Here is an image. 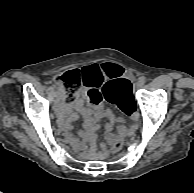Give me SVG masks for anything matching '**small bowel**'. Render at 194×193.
Here are the masks:
<instances>
[{
  "label": "small bowel",
  "instance_id": "obj_1",
  "mask_svg": "<svg viewBox=\"0 0 194 193\" xmlns=\"http://www.w3.org/2000/svg\"><path fill=\"white\" fill-rule=\"evenodd\" d=\"M121 69L115 64H104L89 68L83 73L84 89L79 97L71 103L62 105L61 108V127L68 132L69 124L76 119V110L84 117L86 131L92 132L96 128V121L106 117L109 123L106 125L107 135H111L114 123L118 120L109 108L100 106L99 88L112 82V79L120 76ZM127 80V79H126Z\"/></svg>",
  "mask_w": 194,
  "mask_h": 193
}]
</instances>
